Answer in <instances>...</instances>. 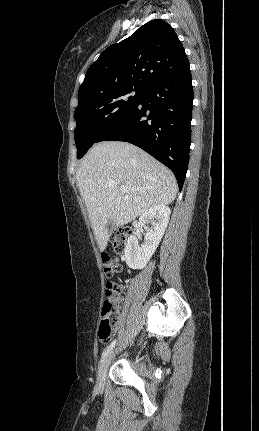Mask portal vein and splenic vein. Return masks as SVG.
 Segmentation results:
<instances>
[{
    "label": "portal vein and splenic vein",
    "mask_w": 259,
    "mask_h": 431,
    "mask_svg": "<svg viewBox=\"0 0 259 431\" xmlns=\"http://www.w3.org/2000/svg\"><path fill=\"white\" fill-rule=\"evenodd\" d=\"M120 191H121L122 193H126V192H128V191H129V188H127L126 186L122 185V186H120Z\"/></svg>",
    "instance_id": "18ae733b"
}]
</instances>
